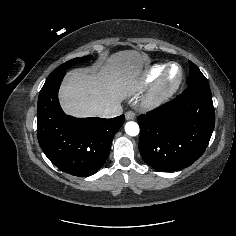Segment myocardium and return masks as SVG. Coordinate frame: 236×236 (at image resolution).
<instances>
[{"label": "myocardium", "mask_w": 236, "mask_h": 236, "mask_svg": "<svg viewBox=\"0 0 236 236\" xmlns=\"http://www.w3.org/2000/svg\"><path fill=\"white\" fill-rule=\"evenodd\" d=\"M178 67V76L173 81H169V74L172 67ZM184 79L183 68L178 63H171L167 65L166 69L153 86L150 94L148 95L146 105L148 107L158 106L168 99H170L180 88Z\"/></svg>", "instance_id": "f54148a6"}]
</instances>
